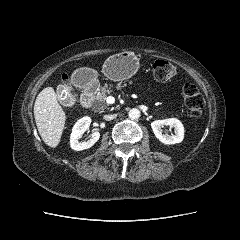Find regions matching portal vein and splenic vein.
Wrapping results in <instances>:
<instances>
[{
  "mask_svg": "<svg viewBox=\"0 0 240 240\" xmlns=\"http://www.w3.org/2000/svg\"><path fill=\"white\" fill-rule=\"evenodd\" d=\"M114 98L112 97V96H109V97H107V103L108 104H112V103H114Z\"/></svg>",
  "mask_w": 240,
  "mask_h": 240,
  "instance_id": "1",
  "label": "portal vein and splenic vein"
}]
</instances>
